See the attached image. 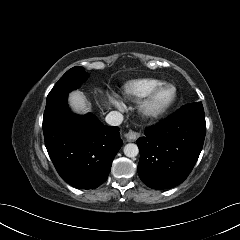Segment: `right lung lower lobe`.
<instances>
[{
  "instance_id": "obj_1",
  "label": "right lung lower lobe",
  "mask_w": 240,
  "mask_h": 240,
  "mask_svg": "<svg viewBox=\"0 0 240 240\" xmlns=\"http://www.w3.org/2000/svg\"><path fill=\"white\" fill-rule=\"evenodd\" d=\"M66 94L46 101L43 133L49 156L61 178L71 186L94 189L108 178L122 146L119 128L105 126L94 115H74Z\"/></svg>"
}]
</instances>
